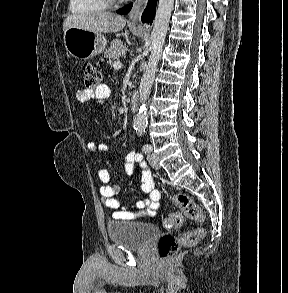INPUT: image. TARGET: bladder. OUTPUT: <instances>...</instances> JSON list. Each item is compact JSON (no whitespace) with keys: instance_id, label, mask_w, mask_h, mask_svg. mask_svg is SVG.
I'll use <instances>...</instances> for the list:
<instances>
[{"instance_id":"bladder-1","label":"bladder","mask_w":288,"mask_h":293,"mask_svg":"<svg viewBox=\"0 0 288 293\" xmlns=\"http://www.w3.org/2000/svg\"><path fill=\"white\" fill-rule=\"evenodd\" d=\"M106 231L111 242L135 250L146 248L158 235L153 224L132 221H109Z\"/></svg>"}]
</instances>
